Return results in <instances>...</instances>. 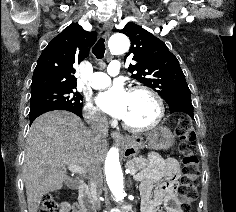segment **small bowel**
I'll return each instance as SVG.
<instances>
[{
  "label": "small bowel",
  "instance_id": "c3829d8e",
  "mask_svg": "<svg viewBox=\"0 0 236 212\" xmlns=\"http://www.w3.org/2000/svg\"><path fill=\"white\" fill-rule=\"evenodd\" d=\"M180 175L179 164L174 158L155 160L140 174L142 212H157L165 205L166 212H183L175 195L176 181ZM59 212H81L76 204L64 202Z\"/></svg>",
  "mask_w": 236,
  "mask_h": 212
}]
</instances>
